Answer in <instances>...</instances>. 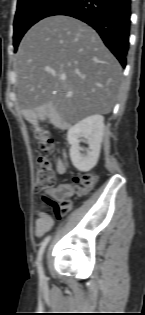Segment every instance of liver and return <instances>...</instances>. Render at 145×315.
<instances>
[{
  "label": "liver",
  "mask_w": 145,
  "mask_h": 315,
  "mask_svg": "<svg viewBox=\"0 0 145 315\" xmlns=\"http://www.w3.org/2000/svg\"><path fill=\"white\" fill-rule=\"evenodd\" d=\"M14 68L24 117L33 121L44 114L68 126L110 113L122 75L96 31L64 15L47 17L26 33Z\"/></svg>",
  "instance_id": "liver-1"
}]
</instances>
